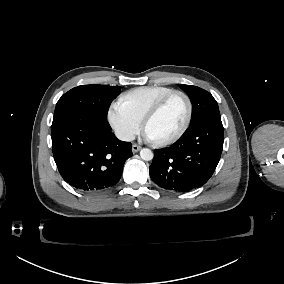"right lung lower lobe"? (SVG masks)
Wrapping results in <instances>:
<instances>
[{
  "instance_id": "obj_1",
  "label": "right lung lower lobe",
  "mask_w": 284,
  "mask_h": 284,
  "mask_svg": "<svg viewBox=\"0 0 284 284\" xmlns=\"http://www.w3.org/2000/svg\"><path fill=\"white\" fill-rule=\"evenodd\" d=\"M52 151L63 179L86 192L114 186L132 145L118 140L106 118L90 112L70 114L52 124Z\"/></svg>"
}]
</instances>
